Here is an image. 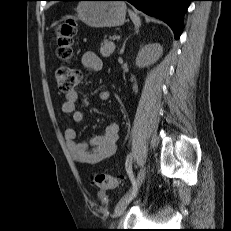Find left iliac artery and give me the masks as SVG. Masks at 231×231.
Masks as SVG:
<instances>
[{"label": "left iliac artery", "mask_w": 231, "mask_h": 231, "mask_svg": "<svg viewBox=\"0 0 231 231\" xmlns=\"http://www.w3.org/2000/svg\"><path fill=\"white\" fill-rule=\"evenodd\" d=\"M132 159H133V155L132 153H130L126 158L125 168L133 185L135 183V178H134V173L132 171Z\"/></svg>", "instance_id": "left-iliac-artery-1"}]
</instances>
